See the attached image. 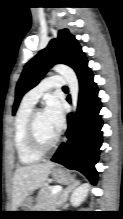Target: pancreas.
Here are the masks:
<instances>
[{
    "label": "pancreas",
    "instance_id": "obj_1",
    "mask_svg": "<svg viewBox=\"0 0 123 219\" xmlns=\"http://www.w3.org/2000/svg\"><path fill=\"white\" fill-rule=\"evenodd\" d=\"M52 188V186H45L40 190L37 198V203L35 205L36 210L50 211L54 208L57 201H59L60 193L52 196Z\"/></svg>",
    "mask_w": 123,
    "mask_h": 219
}]
</instances>
